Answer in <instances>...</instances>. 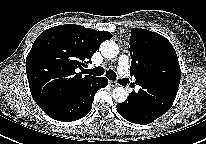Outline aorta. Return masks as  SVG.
I'll return each mask as SVG.
<instances>
[{
    "instance_id": "1",
    "label": "aorta",
    "mask_w": 206,
    "mask_h": 144,
    "mask_svg": "<svg viewBox=\"0 0 206 144\" xmlns=\"http://www.w3.org/2000/svg\"><path fill=\"white\" fill-rule=\"evenodd\" d=\"M101 54L105 58H115L119 53V46L113 40H105L100 46ZM113 99L118 103H123L127 99V91L122 86H117L112 91Z\"/></svg>"
}]
</instances>
